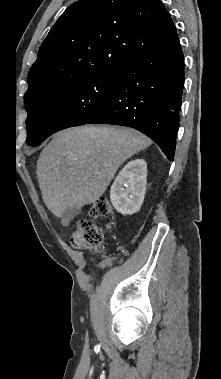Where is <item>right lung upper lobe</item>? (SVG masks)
<instances>
[{
    "mask_svg": "<svg viewBox=\"0 0 221 379\" xmlns=\"http://www.w3.org/2000/svg\"><path fill=\"white\" fill-rule=\"evenodd\" d=\"M178 37L160 0H81L43 41L28 74V103L59 85L118 70Z\"/></svg>",
    "mask_w": 221,
    "mask_h": 379,
    "instance_id": "1",
    "label": "right lung upper lobe"
}]
</instances>
